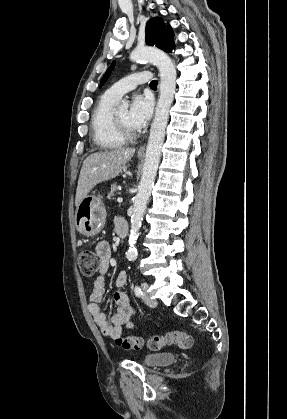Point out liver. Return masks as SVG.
<instances>
[{
  "label": "liver",
  "mask_w": 287,
  "mask_h": 419,
  "mask_svg": "<svg viewBox=\"0 0 287 419\" xmlns=\"http://www.w3.org/2000/svg\"><path fill=\"white\" fill-rule=\"evenodd\" d=\"M134 153V148H118L90 154L80 171L75 206L78 207L97 184L117 177Z\"/></svg>",
  "instance_id": "liver-1"
}]
</instances>
